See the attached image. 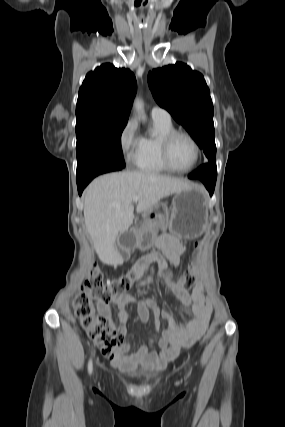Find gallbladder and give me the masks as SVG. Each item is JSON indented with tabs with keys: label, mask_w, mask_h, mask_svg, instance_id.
Wrapping results in <instances>:
<instances>
[{
	"label": "gallbladder",
	"mask_w": 285,
	"mask_h": 427,
	"mask_svg": "<svg viewBox=\"0 0 285 427\" xmlns=\"http://www.w3.org/2000/svg\"><path fill=\"white\" fill-rule=\"evenodd\" d=\"M123 235H124V234H122V235L120 236V242H121V244H122V245H123V243H122V241H121V240H122Z\"/></svg>",
	"instance_id": "1"
}]
</instances>
